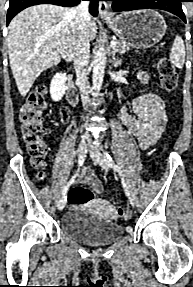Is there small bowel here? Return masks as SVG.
Listing matches in <instances>:
<instances>
[{
    "instance_id": "1",
    "label": "small bowel",
    "mask_w": 193,
    "mask_h": 287,
    "mask_svg": "<svg viewBox=\"0 0 193 287\" xmlns=\"http://www.w3.org/2000/svg\"><path fill=\"white\" fill-rule=\"evenodd\" d=\"M139 78L143 82L146 81L144 74H140ZM120 113L131 145L142 150L156 143L167 122L163 100L149 91L140 94L135 99L132 113L128 112L125 106L121 107ZM79 181L88 184L97 192L103 189L94 170H82Z\"/></svg>"
}]
</instances>
